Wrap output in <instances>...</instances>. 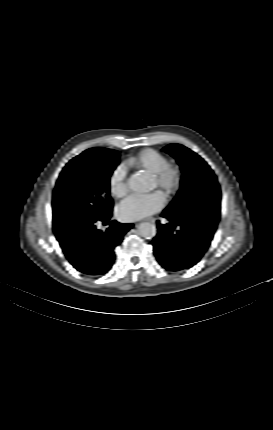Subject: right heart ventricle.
Instances as JSON below:
<instances>
[{"instance_id": "e07e8e85", "label": "right heart ventricle", "mask_w": 273, "mask_h": 430, "mask_svg": "<svg viewBox=\"0 0 273 430\" xmlns=\"http://www.w3.org/2000/svg\"><path fill=\"white\" fill-rule=\"evenodd\" d=\"M169 164L168 158L161 152L146 148L126 160V165L154 175Z\"/></svg>"}]
</instances>
